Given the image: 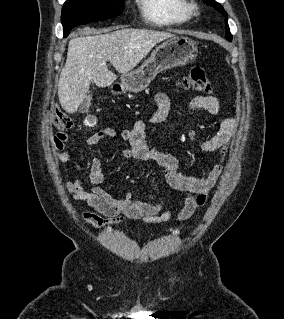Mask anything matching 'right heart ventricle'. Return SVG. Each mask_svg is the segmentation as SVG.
Segmentation results:
<instances>
[{
  "instance_id": "e07e8e85",
  "label": "right heart ventricle",
  "mask_w": 284,
  "mask_h": 319,
  "mask_svg": "<svg viewBox=\"0 0 284 319\" xmlns=\"http://www.w3.org/2000/svg\"><path fill=\"white\" fill-rule=\"evenodd\" d=\"M142 18L155 26L186 23L190 16L185 11V0H136Z\"/></svg>"
}]
</instances>
